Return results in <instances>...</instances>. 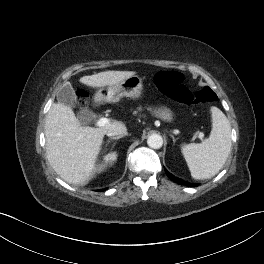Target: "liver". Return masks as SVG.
I'll return each instance as SVG.
<instances>
[{"mask_svg": "<svg viewBox=\"0 0 264 264\" xmlns=\"http://www.w3.org/2000/svg\"><path fill=\"white\" fill-rule=\"evenodd\" d=\"M135 74L134 71H105L83 76L80 82L93 88L111 86ZM119 129L126 127L118 121L99 128L81 126L71 108L52 104L45 121L48 161L64 181L83 186L99 170L96 162L104 135Z\"/></svg>", "mask_w": 264, "mask_h": 264, "instance_id": "6515ba94", "label": "liver"}]
</instances>
